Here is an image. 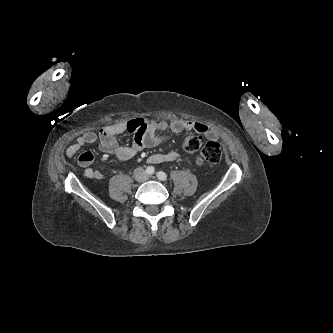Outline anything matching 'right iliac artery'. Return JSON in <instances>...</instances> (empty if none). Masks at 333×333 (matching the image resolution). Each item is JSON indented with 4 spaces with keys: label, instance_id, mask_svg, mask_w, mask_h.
Wrapping results in <instances>:
<instances>
[{
    "label": "right iliac artery",
    "instance_id": "82829eb1",
    "mask_svg": "<svg viewBox=\"0 0 333 333\" xmlns=\"http://www.w3.org/2000/svg\"><path fill=\"white\" fill-rule=\"evenodd\" d=\"M146 172H147L148 174H153V173L155 172V169H154V167H152V166H148L147 169H146Z\"/></svg>",
    "mask_w": 333,
    "mask_h": 333
}]
</instances>
